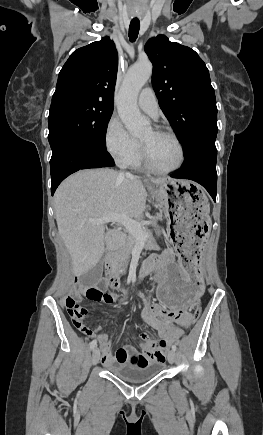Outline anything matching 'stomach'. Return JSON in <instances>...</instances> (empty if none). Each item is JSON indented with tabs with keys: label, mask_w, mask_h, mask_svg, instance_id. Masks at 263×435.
<instances>
[{
	"label": "stomach",
	"mask_w": 263,
	"mask_h": 435,
	"mask_svg": "<svg viewBox=\"0 0 263 435\" xmlns=\"http://www.w3.org/2000/svg\"><path fill=\"white\" fill-rule=\"evenodd\" d=\"M164 215L171 233L175 258H163L147 279L154 281L155 299L168 310H188L198 305L202 297L206 274L201 267V247L208 246L212 233V216H208L209 203L204 191L196 183L171 179L154 189L150 187Z\"/></svg>",
	"instance_id": "0dacf381"
}]
</instances>
